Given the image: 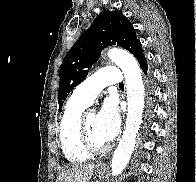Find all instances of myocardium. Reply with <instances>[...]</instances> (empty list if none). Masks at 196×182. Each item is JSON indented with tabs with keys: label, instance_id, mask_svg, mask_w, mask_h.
<instances>
[{
	"label": "myocardium",
	"instance_id": "myocardium-1",
	"mask_svg": "<svg viewBox=\"0 0 196 182\" xmlns=\"http://www.w3.org/2000/svg\"><path fill=\"white\" fill-rule=\"evenodd\" d=\"M88 113L89 112L82 113L79 118L78 128H77L78 143L80 147L89 155L100 154L107 151L109 146L107 144L102 146H96L91 142L87 125H86V117Z\"/></svg>",
	"mask_w": 196,
	"mask_h": 182
}]
</instances>
